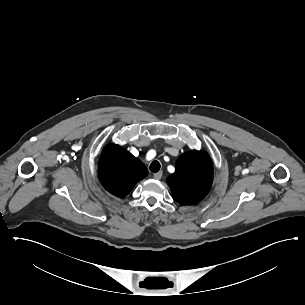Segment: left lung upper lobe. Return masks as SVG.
<instances>
[{
    "label": "left lung upper lobe",
    "mask_w": 305,
    "mask_h": 305,
    "mask_svg": "<svg viewBox=\"0 0 305 305\" xmlns=\"http://www.w3.org/2000/svg\"><path fill=\"white\" fill-rule=\"evenodd\" d=\"M213 180V166L208 153L190 151L176 162V170L167 178L175 201L181 205L199 203L209 192Z\"/></svg>",
    "instance_id": "5c2ea615"
}]
</instances>
